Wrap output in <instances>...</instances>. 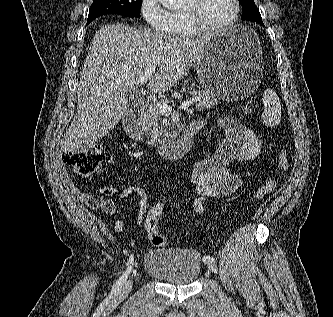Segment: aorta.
I'll return each instance as SVG.
<instances>
[{
    "mask_svg": "<svg viewBox=\"0 0 333 317\" xmlns=\"http://www.w3.org/2000/svg\"><path fill=\"white\" fill-rule=\"evenodd\" d=\"M160 4L165 6L168 9L176 8L180 5L182 0H158Z\"/></svg>",
    "mask_w": 333,
    "mask_h": 317,
    "instance_id": "obj_1",
    "label": "aorta"
}]
</instances>
